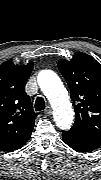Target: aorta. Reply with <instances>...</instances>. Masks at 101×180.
<instances>
[{
    "label": "aorta",
    "instance_id": "obj_1",
    "mask_svg": "<svg viewBox=\"0 0 101 180\" xmlns=\"http://www.w3.org/2000/svg\"><path fill=\"white\" fill-rule=\"evenodd\" d=\"M38 83L53 108L56 125L63 130L72 126L74 112L66 88L56 73L43 70L38 75Z\"/></svg>",
    "mask_w": 101,
    "mask_h": 180
}]
</instances>
